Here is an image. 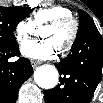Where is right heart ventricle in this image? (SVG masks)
<instances>
[{"instance_id":"right-heart-ventricle-1","label":"right heart ventricle","mask_w":103,"mask_h":103,"mask_svg":"<svg viewBox=\"0 0 103 103\" xmlns=\"http://www.w3.org/2000/svg\"><path fill=\"white\" fill-rule=\"evenodd\" d=\"M66 16H72V13L68 8L61 5H53L37 11L34 14L32 23L34 26L39 27Z\"/></svg>"}]
</instances>
